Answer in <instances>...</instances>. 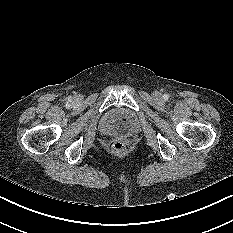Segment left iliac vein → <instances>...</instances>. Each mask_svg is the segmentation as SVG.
<instances>
[{"label": "left iliac vein", "instance_id": "left-iliac-vein-1", "mask_svg": "<svg viewBox=\"0 0 233 233\" xmlns=\"http://www.w3.org/2000/svg\"><path fill=\"white\" fill-rule=\"evenodd\" d=\"M156 97H157V98H161V94H159V93L156 94Z\"/></svg>", "mask_w": 233, "mask_h": 233}]
</instances>
